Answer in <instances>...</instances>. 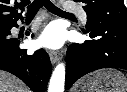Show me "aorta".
Instances as JSON below:
<instances>
[{"instance_id": "1", "label": "aorta", "mask_w": 127, "mask_h": 92, "mask_svg": "<svg viewBox=\"0 0 127 92\" xmlns=\"http://www.w3.org/2000/svg\"><path fill=\"white\" fill-rule=\"evenodd\" d=\"M64 84H65V65L60 63L54 69L50 83L48 92H64Z\"/></svg>"}]
</instances>
